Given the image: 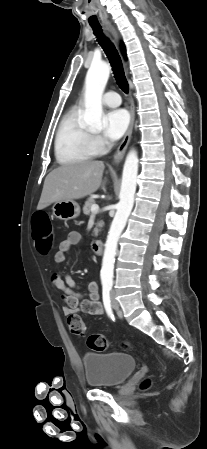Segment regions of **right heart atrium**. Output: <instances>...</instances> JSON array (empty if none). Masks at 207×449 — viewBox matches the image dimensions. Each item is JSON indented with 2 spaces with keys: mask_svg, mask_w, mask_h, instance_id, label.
Wrapping results in <instances>:
<instances>
[{
  "mask_svg": "<svg viewBox=\"0 0 207 449\" xmlns=\"http://www.w3.org/2000/svg\"><path fill=\"white\" fill-rule=\"evenodd\" d=\"M91 140L97 153L103 152L105 150L106 142L99 135H93L91 137Z\"/></svg>",
  "mask_w": 207,
  "mask_h": 449,
  "instance_id": "right-heart-atrium-1",
  "label": "right heart atrium"
}]
</instances>
